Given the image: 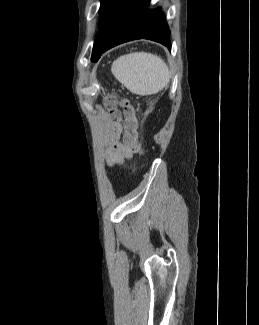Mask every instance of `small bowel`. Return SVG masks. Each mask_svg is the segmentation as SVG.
I'll use <instances>...</instances> for the list:
<instances>
[{
	"label": "small bowel",
	"instance_id": "obj_1",
	"mask_svg": "<svg viewBox=\"0 0 259 325\" xmlns=\"http://www.w3.org/2000/svg\"><path fill=\"white\" fill-rule=\"evenodd\" d=\"M115 117H118L117 112L114 113ZM119 135V129H115L114 131V141L112 144V150L108 156V163L110 165H114L122 162L125 158H130L135 151H133L130 147H128L124 142H120L117 140Z\"/></svg>",
	"mask_w": 259,
	"mask_h": 325
}]
</instances>
